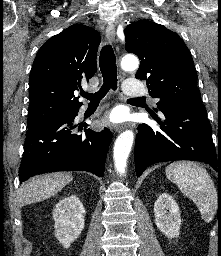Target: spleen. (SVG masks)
<instances>
[{
    "instance_id": "obj_1",
    "label": "spleen",
    "mask_w": 221,
    "mask_h": 256,
    "mask_svg": "<svg viewBox=\"0 0 221 256\" xmlns=\"http://www.w3.org/2000/svg\"><path fill=\"white\" fill-rule=\"evenodd\" d=\"M165 173L197 205L204 221L210 222L217 211V190L207 171L197 163L179 161L168 165Z\"/></svg>"
}]
</instances>
